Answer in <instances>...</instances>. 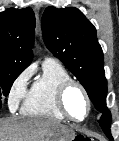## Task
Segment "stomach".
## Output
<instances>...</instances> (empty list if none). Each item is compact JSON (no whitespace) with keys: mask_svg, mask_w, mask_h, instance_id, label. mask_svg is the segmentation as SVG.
<instances>
[{"mask_svg":"<svg viewBox=\"0 0 119 141\" xmlns=\"http://www.w3.org/2000/svg\"><path fill=\"white\" fill-rule=\"evenodd\" d=\"M75 133L68 127H60L45 137L43 141H73L75 140Z\"/></svg>","mask_w":119,"mask_h":141,"instance_id":"obj_1","label":"stomach"}]
</instances>
